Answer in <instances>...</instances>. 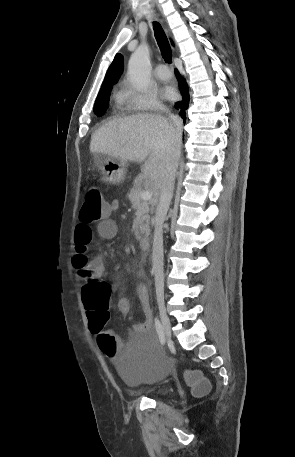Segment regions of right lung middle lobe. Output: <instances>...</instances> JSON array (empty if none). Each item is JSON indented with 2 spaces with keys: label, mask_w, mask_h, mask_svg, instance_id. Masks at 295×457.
Masks as SVG:
<instances>
[{
  "label": "right lung middle lobe",
  "mask_w": 295,
  "mask_h": 457,
  "mask_svg": "<svg viewBox=\"0 0 295 457\" xmlns=\"http://www.w3.org/2000/svg\"><path fill=\"white\" fill-rule=\"evenodd\" d=\"M112 87L102 88L97 96L94 113L98 116H101L105 113L106 109L109 106V95Z\"/></svg>",
  "instance_id": "1"
}]
</instances>
